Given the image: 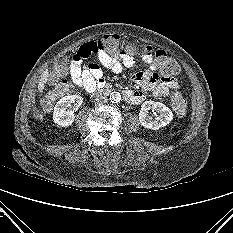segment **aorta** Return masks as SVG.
<instances>
[{
	"label": "aorta",
	"instance_id": "1",
	"mask_svg": "<svg viewBox=\"0 0 233 233\" xmlns=\"http://www.w3.org/2000/svg\"><path fill=\"white\" fill-rule=\"evenodd\" d=\"M121 100V94L117 91H114L110 94V101L112 103H118Z\"/></svg>",
	"mask_w": 233,
	"mask_h": 233
}]
</instances>
